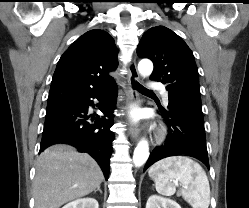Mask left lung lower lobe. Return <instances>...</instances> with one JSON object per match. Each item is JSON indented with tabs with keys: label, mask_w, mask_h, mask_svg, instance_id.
I'll return each mask as SVG.
<instances>
[{
	"label": "left lung lower lobe",
	"mask_w": 249,
	"mask_h": 208,
	"mask_svg": "<svg viewBox=\"0 0 249 208\" xmlns=\"http://www.w3.org/2000/svg\"><path fill=\"white\" fill-rule=\"evenodd\" d=\"M168 136L162 146L156 147L145 164L144 171L153 163L175 155H188L202 161L209 168L202 107L169 95L167 110L159 106Z\"/></svg>",
	"instance_id": "obj_1"
}]
</instances>
